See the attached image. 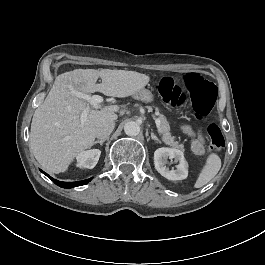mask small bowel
Returning <instances> with one entry per match:
<instances>
[{
  "mask_svg": "<svg viewBox=\"0 0 265 265\" xmlns=\"http://www.w3.org/2000/svg\"><path fill=\"white\" fill-rule=\"evenodd\" d=\"M183 131L193 137L191 148L195 155L203 156L206 154L205 140L201 132H194L191 127L184 125Z\"/></svg>",
  "mask_w": 265,
  "mask_h": 265,
  "instance_id": "c3829d8e",
  "label": "small bowel"
}]
</instances>
